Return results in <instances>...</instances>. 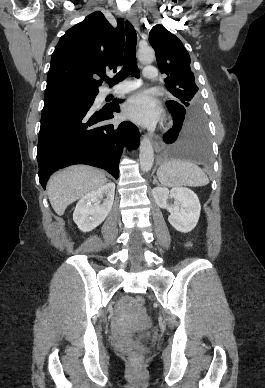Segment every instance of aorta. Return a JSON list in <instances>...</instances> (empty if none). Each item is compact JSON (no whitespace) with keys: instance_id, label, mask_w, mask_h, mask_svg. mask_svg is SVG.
Masks as SVG:
<instances>
[{"instance_id":"762f6f07","label":"aorta","mask_w":265,"mask_h":388,"mask_svg":"<svg viewBox=\"0 0 265 388\" xmlns=\"http://www.w3.org/2000/svg\"><path fill=\"white\" fill-rule=\"evenodd\" d=\"M138 57L142 62L150 63L155 59V53L152 48H143L139 51ZM140 168L143 172L151 170L154 163V151L151 141L143 137L139 147Z\"/></svg>"}]
</instances>
